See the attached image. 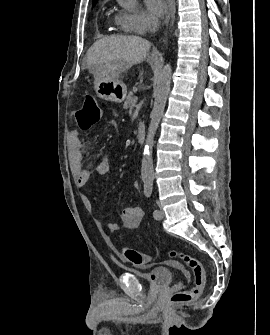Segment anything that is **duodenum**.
I'll use <instances>...</instances> for the list:
<instances>
[{
	"label": "duodenum",
	"mask_w": 270,
	"mask_h": 335,
	"mask_svg": "<svg viewBox=\"0 0 270 335\" xmlns=\"http://www.w3.org/2000/svg\"><path fill=\"white\" fill-rule=\"evenodd\" d=\"M146 137V131L143 126H140L136 131V139L140 144H143Z\"/></svg>",
	"instance_id": "obj_1"
}]
</instances>
